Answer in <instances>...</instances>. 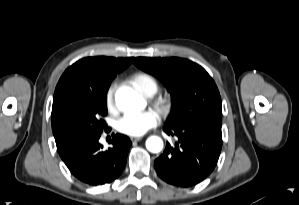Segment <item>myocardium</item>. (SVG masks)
I'll use <instances>...</instances> for the list:
<instances>
[{
  "label": "myocardium",
  "instance_id": "obj_1",
  "mask_svg": "<svg viewBox=\"0 0 299 205\" xmlns=\"http://www.w3.org/2000/svg\"><path fill=\"white\" fill-rule=\"evenodd\" d=\"M154 105L158 112L163 116H166L170 112L171 103L170 100L166 97L156 99Z\"/></svg>",
  "mask_w": 299,
  "mask_h": 205
}]
</instances>
